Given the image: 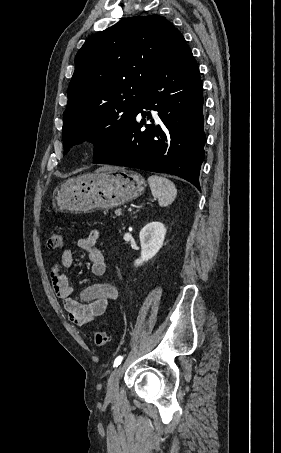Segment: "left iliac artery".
Listing matches in <instances>:
<instances>
[{
  "instance_id": "obj_1",
  "label": "left iliac artery",
  "mask_w": 281,
  "mask_h": 453,
  "mask_svg": "<svg viewBox=\"0 0 281 453\" xmlns=\"http://www.w3.org/2000/svg\"><path fill=\"white\" fill-rule=\"evenodd\" d=\"M122 359H123L122 356H118L114 361V366L118 367L121 364Z\"/></svg>"
}]
</instances>
